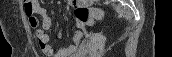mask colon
Returning a JSON list of instances; mask_svg holds the SVG:
<instances>
[{"label": "colon", "mask_w": 172, "mask_h": 57, "mask_svg": "<svg viewBox=\"0 0 172 57\" xmlns=\"http://www.w3.org/2000/svg\"><path fill=\"white\" fill-rule=\"evenodd\" d=\"M75 16L80 23L92 25L95 20L105 16V11L96 7L78 6L75 9Z\"/></svg>", "instance_id": "1"}]
</instances>
